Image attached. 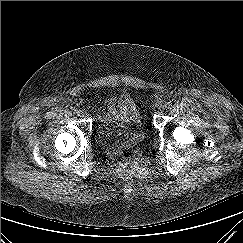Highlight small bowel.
Here are the masks:
<instances>
[{
  "instance_id": "c3829d8e",
  "label": "small bowel",
  "mask_w": 243,
  "mask_h": 243,
  "mask_svg": "<svg viewBox=\"0 0 243 243\" xmlns=\"http://www.w3.org/2000/svg\"><path fill=\"white\" fill-rule=\"evenodd\" d=\"M106 107H107V111L109 114L114 115L116 113L115 111V104H114V99H110L107 103H106Z\"/></svg>"
}]
</instances>
